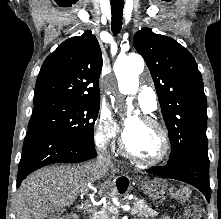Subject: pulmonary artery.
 <instances>
[{
    "label": "pulmonary artery",
    "instance_id": "pulmonary-artery-1",
    "mask_svg": "<svg viewBox=\"0 0 221 219\" xmlns=\"http://www.w3.org/2000/svg\"><path fill=\"white\" fill-rule=\"evenodd\" d=\"M139 105L145 112H152L157 108V98L150 88H143L137 95Z\"/></svg>",
    "mask_w": 221,
    "mask_h": 219
}]
</instances>
